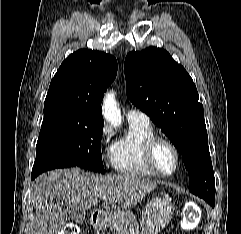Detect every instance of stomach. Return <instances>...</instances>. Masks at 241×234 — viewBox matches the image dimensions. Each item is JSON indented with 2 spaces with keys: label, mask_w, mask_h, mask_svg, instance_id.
Here are the masks:
<instances>
[{
  "label": "stomach",
  "mask_w": 241,
  "mask_h": 234,
  "mask_svg": "<svg viewBox=\"0 0 241 234\" xmlns=\"http://www.w3.org/2000/svg\"><path fill=\"white\" fill-rule=\"evenodd\" d=\"M173 206L168 198L155 197L151 199L142 214V228L139 230L135 217L123 210L116 216H107L118 228L120 234H158L171 220Z\"/></svg>",
  "instance_id": "0dacf381"
}]
</instances>
